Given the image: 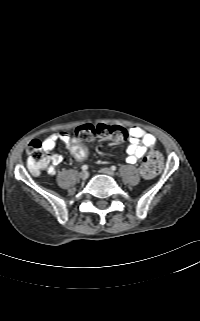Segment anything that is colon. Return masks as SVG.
<instances>
[{"mask_svg":"<svg viewBox=\"0 0 200 321\" xmlns=\"http://www.w3.org/2000/svg\"><path fill=\"white\" fill-rule=\"evenodd\" d=\"M75 136L80 141L110 140L120 143L126 140L128 133L125 128L120 126L86 124L75 130ZM27 153L30 171L33 174L40 173L48 162V155L43 148V143L38 139L31 141ZM69 153L78 162H84L89 157L88 148L83 143L72 144ZM162 166V155L157 150H150L142 161L140 172L144 178L150 179L161 171Z\"/></svg>","mask_w":200,"mask_h":321,"instance_id":"5ec220e1","label":"colon"}]
</instances>
